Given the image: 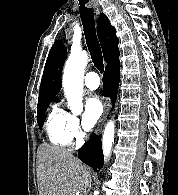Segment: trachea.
I'll list each match as a JSON object with an SVG mask.
<instances>
[{"label":"trachea","instance_id":"3493384b","mask_svg":"<svg viewBox=\"0 0 178 195\" xmlns=\"http://www.w3.org/2000/svg\"><path fill=\"white\" fill-rule=\"evenodd\" d=\"M89 0H79L80 17L84 28V35L95 67L103 73L104 64L99 41L96 35L95 20L92 8L88 7Z\"/></svg>","mask_w":178,"mask_h":195}]
</instances>
